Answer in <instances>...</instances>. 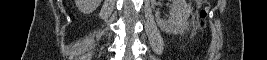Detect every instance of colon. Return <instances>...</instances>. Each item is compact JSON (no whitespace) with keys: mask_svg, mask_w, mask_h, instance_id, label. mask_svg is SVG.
Instances as JSON below:
<instances>
[{"mask_svg":"<svg viewBox=\"0 0 267 60\" xmlns=\"http://www.w3.org/2000/svg\"><path fill=\"white\" fill-rule=\"evenodd\" d=\"M207 12H208L207 8H204L201 11V14L199 16V21H198V26H199L200 29H204L206 27L205 15L207 14Z\"/></svg>","mask_w":267,"mask_h":60,"instance_id":"5ec220e1","label":"colon"}]
</instances>
